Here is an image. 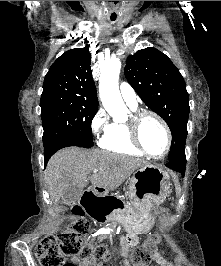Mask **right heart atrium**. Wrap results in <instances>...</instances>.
I'll use <instances>...</instances> for the list:
<instances>
[{"label": "right heart atrium", "instance_id": "right-heart-atrium-1", "mask_svg": "<svg viewBox=\"0 0 221 266\" xmlns=\"http://www.w3.org/2000/svg\"><path fill=\"white\" fill-rule=\"evenodd\" d=\"M109 118L103 108H99L91 121V131L94 136L99 137L101 133H105L109 128Z\"/></svg>", "mask_w": 221, "mask_h": 266}]
</instances>
